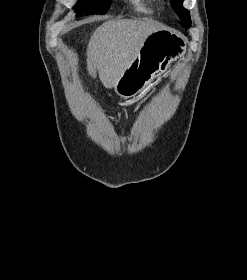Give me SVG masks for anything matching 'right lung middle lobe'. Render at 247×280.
<instances>
[{"mask_svg":"<svg viewBox=\"0 0 247 280\" xmlns=\"http://www.w3.org/2000/svg\"><path fill=\"white\" fill-rule=\"evenodd\" d=\"M110 2L111 0H81L74 9L77 11V16L105 14Z\"/></svg>","mask_w":247,"mask_h":280,"instance_id":"1","label":"right lung middle lobe"}]
</instances>
